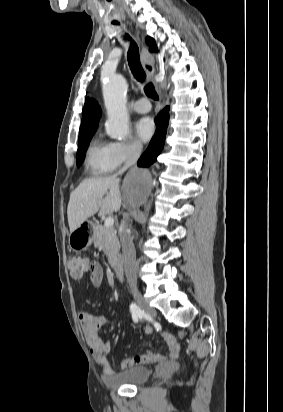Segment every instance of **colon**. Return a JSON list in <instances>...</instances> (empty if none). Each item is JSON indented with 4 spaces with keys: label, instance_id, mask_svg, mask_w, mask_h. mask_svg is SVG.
Returning <instances> with one entry per match:
<instances>
[{
    "label": "colon",
    "instance_id": "1",
    "mask_svg": "<svg viewBox=\"0 0 283 412\" xmlns=\"http://www.w3.org/2000/svg\"><path fill=\"white\" fill-rule=\"evenodd\" d=\"M67 268L73 278H81L84 273L95 269V261L85 260L78 256H72L67 261Z\"/></svg>",
    "mask_w": 283,
    "mask_h": 412
}]
</instances>
